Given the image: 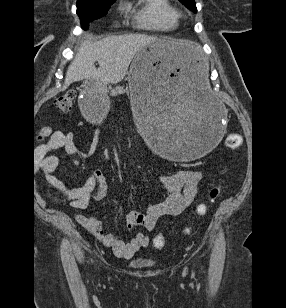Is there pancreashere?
<instances>
[{
    "instance_id": "pancreas-1",
    "label": "pancreas",
    "mask_w": 286,
    "mask_h": 308,
    "mask_svg": "<svg viewBox=\"0 0 286 308\" xmlns=\"http://www.w3.org/2000/svg\"><path fill=\"white\" fill-rule=\"evenodd\" d=\"M124 93H126V89L124 87L118 86L111 90L110 95L114 97V96H117L119 94H124Z\"/></svg>"
}]
</instances>
